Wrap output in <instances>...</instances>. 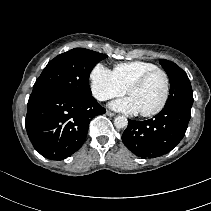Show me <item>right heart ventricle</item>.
I'll list each match as a JSON object with an SVG mask.
<instances>
[{
	"label": "right heart ventricle",
	"instance_id": "obj_1",
	"mask_svg": "<svg viewBox=\"0 0 211 211\" xmlns=\"http://www.w3.org/2000/svg\"><path fill=\"white\" fill-rule=\"evenodd\" d=\"M158 69V66L146 61H130L118 63L113 67V74L118 82L127 89L131 83L143 74Z\"/></svg>",
	"mask_w": 211,
	"mask_h": 211
}]
</instances>
